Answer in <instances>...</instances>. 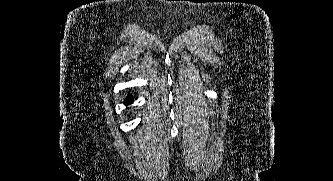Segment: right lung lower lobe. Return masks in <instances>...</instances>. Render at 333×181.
I'll return each mask as SVG.
<instances>
[{
	"mask_svg": "<svg viewBox=\"0 0 333 181\" xmlns=\"http://www.w3.org/2000/svg\"><path fill=\"white\" fill-rule=\"evenodd\" d=\"M132 102V98L131 97H127L124 101L125 104H129Z\"/></svg>",
	"mask_w": 333,
	"mask_h": 181,
	"instance_id": "right-lung-lower-lobe-1",
	"label": "right lung lower lobe"
}]
</instances>
